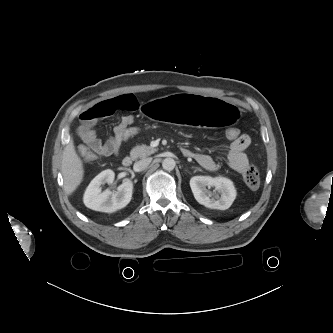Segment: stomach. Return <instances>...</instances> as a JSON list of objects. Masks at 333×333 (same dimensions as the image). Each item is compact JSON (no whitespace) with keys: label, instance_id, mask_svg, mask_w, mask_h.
<instances>
[{"label":"stomach","instance_id":"stomach-1","mask_svg":"<svg viewBox=\"0 0 333 333\" xmlns=\"http://www.w3.org/2000/svg\"><path fill=\"white\" fill-rule=\"evenodd\" d=\"M142 114L145 119L163 125L194 126L212 131H219L240 125L245 118V111L239 105L201 94L190 97L172 93L152 97L144 101Z\"/></svg>","mask_w":333,"mask_h":333}]
</instances>
